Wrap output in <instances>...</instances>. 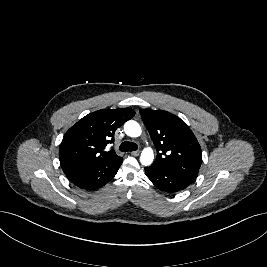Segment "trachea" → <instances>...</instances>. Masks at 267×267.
I'll use <instances>...</instances> for the list:
<instances>
[{
  "mask_svg": "<svg viewBox=\"0 0 267 267\" xmlns=\"http://www.w3.org/2000/svg\"><path fill=\"white\" fill-rule=\"evenodd\" d=\"M138 149V145L136 143L133 142H129V141H125L123 142L120 147L119 150L121 152H128V151H136Z\"/></svg>",
  "mask_w": 267,
  "mask_h": 267,
  "instance_id": "trachea-1",
  "label": "trachea"
}]
</instances>
